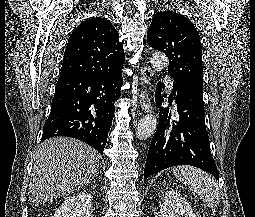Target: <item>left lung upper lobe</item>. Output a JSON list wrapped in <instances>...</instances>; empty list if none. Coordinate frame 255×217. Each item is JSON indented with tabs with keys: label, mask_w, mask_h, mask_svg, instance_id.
<instances>
[{
	"label": "left lung upper lobe",
	"mask_w": 255,
	"mask_h": 217,
	"mask_svg": "<svg viewBox=\"0 0 255 217\" xmlns=\"http://www.w3.org/2000/svg\"><path fill=\"white\" fill-rule=\"evenodd\" d=\"M147 42L168 56V75L203 92L200 36L191 21L172 11L156 13L147 32Z\"/></svg>",
	"instance_id": "5c2ea615"
}]
</instances>
